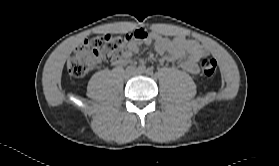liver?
I'll return each instance as SVG.
<instances>
[{
	"label": "liver",
	"instance_id": "liver-1",
	"mask_svg": "<svg viewBox=\"0 0 279 166\" xmlns=\"http://www.w3.org/2000/svg\"><path fill=\"white\" fill-rule=\"evenodd\" d=\"M70 67V64L68 63V68Z\"/></svg>",
	"mask_w": 279,
	"mask_h": 166
}]
</instances>
